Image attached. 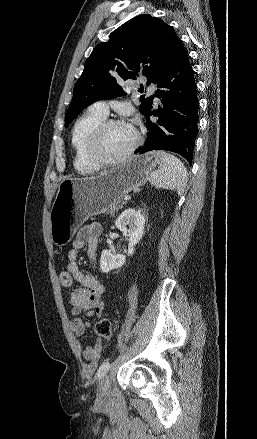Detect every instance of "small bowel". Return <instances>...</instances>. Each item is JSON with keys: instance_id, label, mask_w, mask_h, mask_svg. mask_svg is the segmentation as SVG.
Here are the masks:
<instances>
[{"instance_id": "small-bowel-1", "label": "small bowel", "mask_w": 257, "mask_h": 439, "mask_svg": "<svg viewBox=\"0 0 257 439\" xmlns=\"http://www.w3.org/2000/svg\"><path fill=\"white\" fill-rule=\"evenodd\" d=\"M101 226L98 223H90L82 227L72 241V248L68 252L67 272L72 276L81 288L73 290L70 295L69 304L73 320L71 329L76 337L84 334L90 327L88 321L83 320L80 315L93 316L96 314L101 317L104 311V302L102 295L104 286L92 274L82 271L78 264L80 250L86 246V256L88 259L95 261L97 258V249ZM103 350L102 338L97 337L93 345L87 346L82 350V355L87 361L83 365L85 376L91 375L96 369Z\"/></svg>"}]
</instances>
